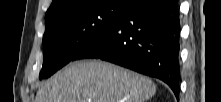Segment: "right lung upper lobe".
Here are the masks:
<instances>
[{
	"label": "right lung upper lobe",
	"mask_w": 221,
	"mask_h": 102,
	"mask_svg": "<svg viewBox=\"0 0 221 102\" xmlns=\"http://www.w3.org/2000/svg\"><path fill=\"white\" fill-rule=\"evenodd\" d=\"M81 1L84 0H52V4L46 12L45 19H48L51 16L57 14L58 12L63 11ZM130 1L134 4L137 0Z\"/></svg>",
	"instance_id": "right-lung-upper-lobe-1"
}]
</instances>
